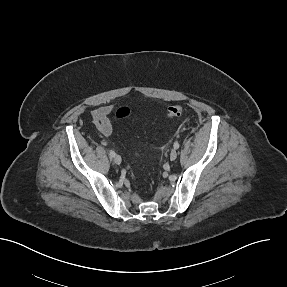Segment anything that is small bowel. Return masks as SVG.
Instances as JSON below:
<instances>
[{"label": "small bowel", "mask_w": 287, "mask_h": 287, "mask_svg": "<svg viewBox=\"0 0 287 287\" xmlns=\"http://www.w3.org/2000/svg\"><path fill=\"white\" fill-rule=\"evenodd\" d=\"M113 105H105L96 110L91 114L93 123L95 124L98 131L105 137H109L114 132V127L109 120V115L113 112Z\"/></svg>", "instance_id": "obj_1"}]
</instances>
